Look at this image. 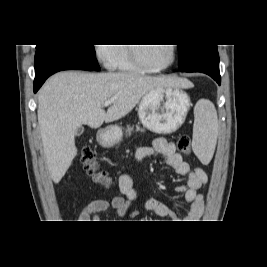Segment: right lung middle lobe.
Wrapping results in <instances>:
<instances>
[{
  "instance_id": "dd1d6c3e",
  "label": "right lung middle lobe",
  "mask_w": 267,
  "mask_h": 267,
  "mask_svg": "<svg viewBox=\"0 0 267 267\" xmlns=\"http://www.w3.org/2000/svg\"><path fill=\"white\" fill-rule=\"evenodd\" d=\"M54 48L66 53L73 58L87 64L94 70H100L99 64L95 57V49L93 45H77V44H54V45H37L36 50L42 48Z\"/></svg>"
}]
</instances>
